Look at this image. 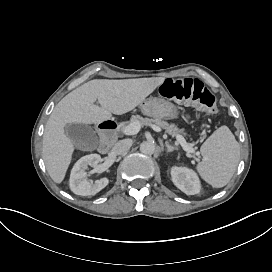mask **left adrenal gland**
Returning a JSON list of instances; mask_svg holds the SVG:
<instances>
[{
	"label": "left adrenal gland",
	"instance_id": "a2214340",
	"mask_svg": "<svg viewBox=\"0 0 272 272\" xmlns=\"http://www.w3.org/2000/svg\"><path fill=\"white\" fill-rule=\"evenodd\" d=\"M165 144H166V146L168 148V150H167L168 153L178 151V148H174V147L170 146L168 141H166Z\"/></svg>",
	"mask_w": 272,
	"mask_h": 272
}]
</instances>
